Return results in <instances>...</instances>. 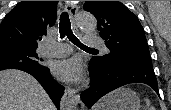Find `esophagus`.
<instances>
[{
	"instance_id": "obj_1",
	"label": "esophagus",
	"mask_w": 171,
	"mask_h": 110,
	"mask_svg": "<svg viewBox=\"0 0 171 110\" xmlns=\"http://www.w3.org/2000/svg\"><path fill=\"white\" fill-rule=\"evenodd\" d=\"M78 9L79 7L76 4L66 3L64 6L65 12L69 13L70 15L75 30H77V27L75 25V17L77 15ZM79 103H80V96L78 94V91L71 87H67L65 89V94L61 99V109L75 110L77 109Z\"/></svg>"
}]
</instances>
